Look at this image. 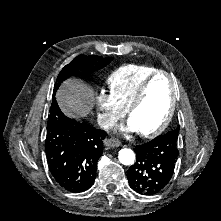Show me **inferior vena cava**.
I'll return each instance as SVG.
<instances>
[{
    "instance_id": "inferior-vena-cava-1",
    "label": "inferior vena cava",
    "mask_w": 221,
    "mask_h": 221,
    "mask_svg": "<svg viewBox=\"0 0 221 221\" xmlns=\"http://www.w3.org/2000/svg\"><path fill=\"white\" fill-rule=\"evenodd\" d=\"M97 122L98 125L104 130L109 129L114 125L112 118L106 114H99L97 117Z\"/></svg>"
}]
</instances>
